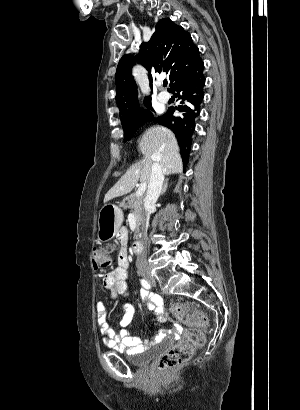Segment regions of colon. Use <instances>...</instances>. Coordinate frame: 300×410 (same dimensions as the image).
Returning <instances> with one entry per match:
<instances>
[{"label":"colon","mask_w":300,"mask_h":410,"mask_svg":"<svg viewBox=\"0 0 300 410\" xmlns=\"http://www.w3.org/2000/svg\"><path fill=\"white\" fill-rule=\"evenodd\" d=\"M110 252V248L93 251L92 258L96 269L105 270L111 266ZM172 311L176 316L182 317L178 319V326H187L188 328L184 331L181 341L158 359L157 369L163 374L187 364L195 350L202 347L205 342L203 332V329L207 326L205 314L189 302L175 303Z\"/></svg>","instance_id":"colon-1"}]
</instances>
